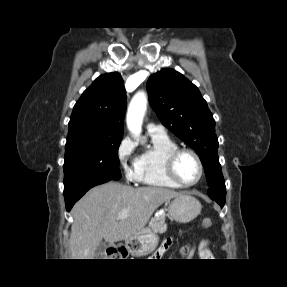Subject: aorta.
Wrapping results in <instances>:
<instances>
[{"instance_id": "aorta-1", "label": "aorta", "mask_w": 287, "mask_h": 287, "mask_svg": "<svg viewBox=\"0 0 287 287\" xmlns=\"http://www.w3.org/2000/svg\"><path fill=\"white\" fill-rule=\"evenodd\" d=\"M147 109V97L138 92L131 100L127 111V127L130 133L138 138L142 131L143 118Z\"/></svg>"}]
</instances>
